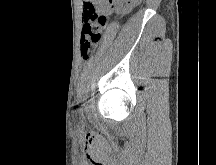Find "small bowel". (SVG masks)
Masks as SVG:
<instances>
[{"mask_svg": "<svg viewBox=\"0 0 216 165\" xmlns=\"http://www.w3.org/2000/svg\"><path fill=\"white\" fill-rule=\"evenodd\" d=\"M141 0H124V7L131 9ZM111 6V0H84L85 10H97L100 13H107Z\"/></svg>", "mask_w": 216, "mask_h": 165, "instance_id": "small-bowel-1", "label": "small bowel"}]
</instances>
